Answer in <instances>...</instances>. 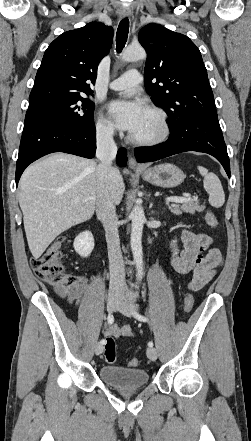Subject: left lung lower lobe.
Returning <instances> with one entry per match:
<instances>
[{
	"label": "left lung lower lobe",
	"mask_w": 251,
	"mask_h": 441,
	"mask_svg": "<svg viewBox=\"0 0 251 441\" xmlns=\"http://www.w3.org/2000/svg\"><path fill=\"white\" fill-rule=\"evenodd\" d=\"M186 151L214 156L230 178V162L217 115H196L170 129L168 140L153 147L135 148L137 162L156 161Z\"/></svg>",
	"instance_id": "obj_1"
}]
</instances>
